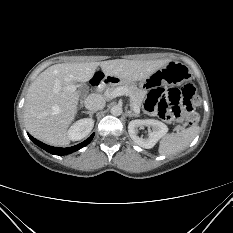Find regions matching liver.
Wrapping results in <instances>:
<instances>
[{"instance_id": "1", "label": "liver", "mask_w": 233, "mask_h": 233, "mask_svg": "<svg viewBox=\"0 0 233 233\" xmlns=\"http://www.w3.org/2000/svg\"><path fill=\"white\" fill-rule=\"evenodd\" d=\"M168 62L115 59L52 65L29 87L24 104L25 126L33 137L44 143L68 145L67 129L75 119L80 97L76 83L89 81L98 67L106 77H116L123 82L142 81Z\"/></svg>"}]
</instances>
